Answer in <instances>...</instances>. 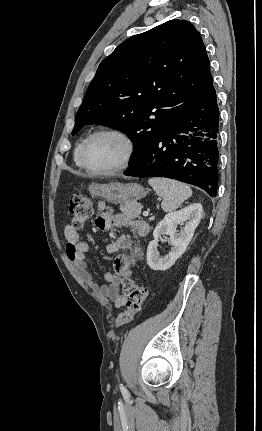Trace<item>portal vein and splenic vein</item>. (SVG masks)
I'll list each match as a JSON object with an SVG mask.
<instances>
[{"label":"portal vein and splenic vein","mask_w":262,"mask_h":431,"mask_svg":"<svg viewBox=\"0 0 262 431\" xmlns=\"http://www.w3.org/2000/svg\"><path fill=\"white\" fill-rule=\"evenodd\" d=\"M149 215V212L148 211H145V212H143V216H148Z\"/></svg>","instance_id":"1"}]
</instances>
